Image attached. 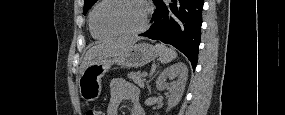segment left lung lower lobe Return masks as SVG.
<instances>
[{
    "label": "left lung lower lobe",
    "instance_id": "left-lung-lower-lobe-1",
    "mask_svg": "<svg viewBox=\"0 0 285 115\" xmlns=\"http://www.w3.org/2000/svg\"><path fill=\"white\" fill-rule=\"evenodd\" d=\"M156 11L150 29L141 36L173 45L193 68L198 59L202 25V0H153Z\"/></svg>",
    "mask_w": 285,
    "mask_h": 115
}]
</instances>
